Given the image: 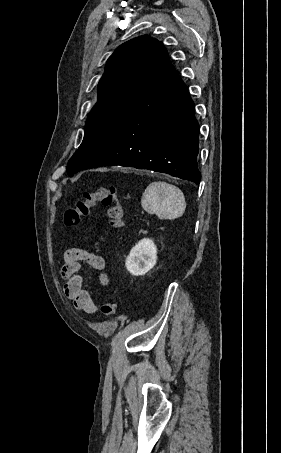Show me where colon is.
Listing matches in <instances>:
<instances>
[{"instance_id":"colon-1","label":"colon","mask_w":281,"mask_h":453,"mask_svg":"<svg viewBox=\"0 0 281 453\" xmlns=\"http://www.w3.org/2000/svg\"><path fill=\"white\" fill-rule=\"evenodd\" d=\"M102 204L110 208L108 229L111 231L122 230L127 227L124 217V201L117 184L99 188L92 193H86L68 208L65 213L64 225L69 228L81 226L89 218L90 211L97 205ZM118 308L116 300H109L102 304L101 313L109 318L115 315Z\"/></svg>"}]
</instances>
